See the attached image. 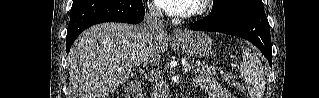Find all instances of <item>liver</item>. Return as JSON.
Instances as JSON below:
<instances>
[{
	"label": "liver",
	"instance_id": "6515ba94",
	"mask_svg": "<svg viewBox=\"0 0 319 98\" xmlns=\"http://www.w3.org/2000/svg\"><path fill=\"white\" fill-rule=\"evenodd\" d=\"M168 37L155 44L143 26L103 23L85 30L69 52L70 98H108L129 79L134 61L145 67L155 49L165 52Z\"/></svg>",
	"mask_w": 319,
	"mask_h": 98
}]
</instances>
